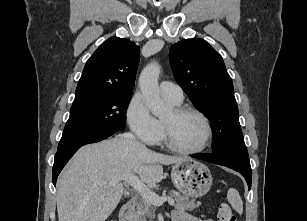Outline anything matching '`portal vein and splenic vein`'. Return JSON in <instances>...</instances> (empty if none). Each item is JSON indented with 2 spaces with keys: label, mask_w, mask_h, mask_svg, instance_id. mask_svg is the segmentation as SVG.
<instances>
[{
  "label": "portal vein and splenic vein",
  "mask_w": 307,
  "mask_h": 221,
  "mask_svg": "<svg viewBox=\"0 0 307 221\" xmlns=\"http://www.w3.org/2000/svg\"><path fill=\"white\" fill-rule=\"evenodd\" d=\"M123 180L130 184L138 193L141 194L143 199L152 205L160 206L164 202L168 201L171 206L175 205L174 200L171 197H160L155 192L150 190L136 175L134 174H124L114 178V181Z\"/></svg>",
  "instance_id": "obj_1"
}]
</instances>
